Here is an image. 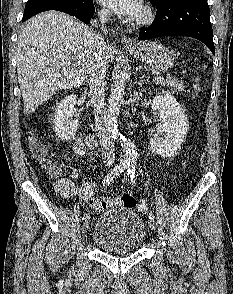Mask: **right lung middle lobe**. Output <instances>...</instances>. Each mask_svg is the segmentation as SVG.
Here are the masks:
<instances>
[{
    "label": "right lung middle lobe",
    "instance_id": "dd1d6c3e",
    "mask_svg": "<svg viewBox=\"0 0 233 294\" xmlns=\"http://www.w3.org/2000/svg\"><path fill=\"white\" fill-rule=\"evenodd\" d=\"M79 0H28L25 6L22 21L27 20L35 14L51 10L57 7H66Z\"/></svg>",
    "mask_w": 233,
    "mask_h": 294
}]
</instances>
